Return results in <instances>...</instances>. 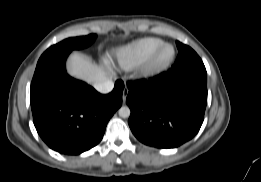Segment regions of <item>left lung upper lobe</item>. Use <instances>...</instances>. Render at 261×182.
<instances>
[{
  "label": "left lung upper lobe",
  "mask_w": 261,
  "mask_h": 182,
  "mask_svg": "<svg viewBox=\"0 0 261 182\" xmlns=\"http://www.w3.org/2000/svg\"><path fill=\"white\" fill-rule=\"evenodd\" d=\"M179 54L178 57L170 69L171 72H179L186 69H201L205 68L201 58L197 53L189 46L180 42H176Z\"/></svg>",
  "instance_id": "left-lung-upper-lobe-1"
}]
</instances>
